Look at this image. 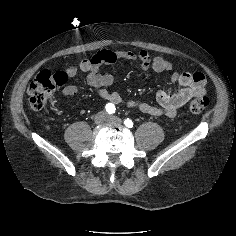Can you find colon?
<instances>
[{"label":"colon","instance_id":"obj_1","mask_svg":"<svg viewBox=\"0 0 236 236\" xmlns=\"http://www.w3.org/2000/svg\"><path fill=\"white\" fill-rule=\"evenodd\" d=\"M68 77L64 72H53L45 70L40 72L28 87V103L33 110H41L53 92L64 85ZM209 100L205 96L193 99L190 103V110L193 113H200L207 108Z\"/></svg>","mask_w":236,"mask_h":236}]
</instances>
